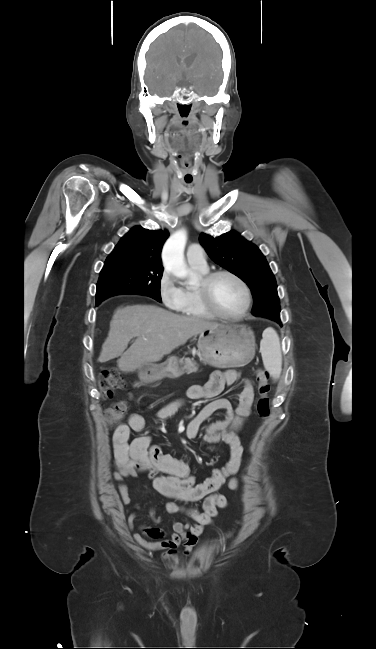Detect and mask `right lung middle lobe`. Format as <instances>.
<instances>
[{"label": "right lung middle lobe", "instance_id": "obj_1", "mask_svg": "<svg viewBox=\"0 0 376 649\" xmlns=\"http://www.w3.org/2000/svg\"><path fill=\"white\" fill-rule=\"evenodd\" d=\"M163 268L134 256H108L97 283L96 306L110 296L140 294L161 302Z\"/></svg>", "mask_w": 376, "mask_h": 649}]
</instances>
